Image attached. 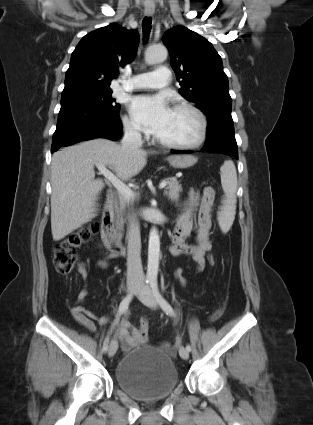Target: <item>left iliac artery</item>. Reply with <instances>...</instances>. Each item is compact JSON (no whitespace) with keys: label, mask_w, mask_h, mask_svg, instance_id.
I'll return each mask as SVG.
<instances>
[{"label":"left iliac artery","mask_w":313,"mask_h":425,"mask_svg":"<svg viewBox=\"0 0 313 425\" xmlns=\"http://www.w3.org/2000/svg\"><path fill=\"white\" fill-rule=\"evenodd\" d=\"M150 287L152 289L153 295L156 298L157 302L161 306V308L166 312V314L170 316H175L174 310L171 305L163 298L158 289V282L156 278L150 280ZM188 351H191V346L188 344L186 346Z\"/></svg>","instance_id":"44dca946"}]
</instances>
